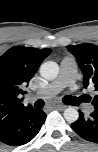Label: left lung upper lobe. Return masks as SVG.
Returning a JSON list of instances; mask_svg holds the SVG:
<instances>
[{
    "label": "left lung upper lobe",
    "mask_w": 98,
    "mask_h": 152,
    "mask_svg": "<svg viewBox=\"0 0 98 152\" xmlns=\"http://www.w3.org/2000/svg\"><path fill=\"white\" fill-rule=\"evenodd\" d=\"M67 49L75 57L83 73L84 88H93L98 91V47L85 43L69 45ZM87 100L92 102L95 110H98V95L93 98L87 95Z\"/></svg>",
    "instance_id": "1"
}]
</instances>
